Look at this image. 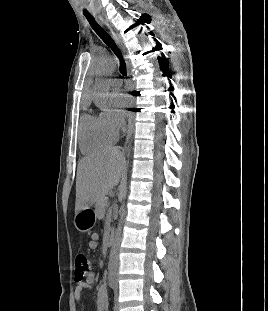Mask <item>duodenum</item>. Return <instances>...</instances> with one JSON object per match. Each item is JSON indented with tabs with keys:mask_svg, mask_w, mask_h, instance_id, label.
Instances as JSON below:
<instances>
[{
	"mask_svg": "<svg viewBox=\"0 0 268 311\" xmlns=\"http://www.w3.org/2000/svg\"><path fill=\"white\" fill-rule=\"evenodd\" d=\"M114 243V235L112 233H109L106 237V245L108 247L112 246Z\"/></svg>",
	"mask_w": 268,
	"mask_h": 311,
	"instance_id": "duodenum-1",
	"label": "duodenum"
}]
</instances>
